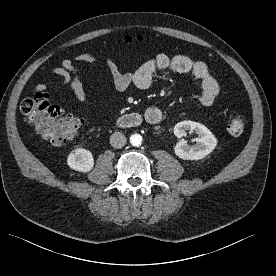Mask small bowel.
Returning a JSON list of instances; mask_svg holds the SVG:
<instances>
[{
	"label": "small bowel",
	"instance_id": "1",
	"mask_svg": "<svg viewBox=\"0 0 276 276\" xmlns=\"http://www.w3.org/2000/svg\"><path fill=\"white\" fill-rule=\"evenodd\" d=\"M75 61L94 63L96 58L88 53H81L74 57ZM115 91L121 92L134 86L137 89L145 90L150 87L155 75L171 70L180 74H192L199 82L202 93L198 100L200 108H210L219 94V84L210 74L209 68L203 61L191 58L186 54H179L169 57L166 54H159L154 59L142 64L132 73H122L113 58L106 61ZM60 80L56 83H38L35 86L36 92H45L49 87H61L70 85L76 98L83 104L86 103V95L82 87L77 68L71 59H63L60 65L51 70ZM145 118L150 124H157L162 118V111L157 107H149L145 110Z\"/></svg>",
	"mask_w": 276,
	"mask_h": 276
}]
</instances>
